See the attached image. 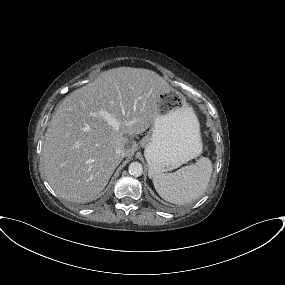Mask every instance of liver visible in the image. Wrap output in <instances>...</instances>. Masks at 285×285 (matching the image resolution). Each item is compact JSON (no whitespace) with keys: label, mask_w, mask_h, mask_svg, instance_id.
I'll list each match as a JSON object with an SVG mask.
<instances>
[{"label":"liver","mask_w":285,"mask_h":285,"mask_svg":"<svg viewBox=\"0 0 285 285\" xmlns=\"http://www.w3.org/2000/svg\"><path fill=\"white\" fill-rule=\"evenodd\" d=\"M163 87L150 70L118 67L64 98L43 144L45 176L58 196L77 203L98 197L122 159L131 155L130 137L154 123ZM99 111L119 120V129L94 115ZM119 147L125 150L123 158L116 155Z\"/></svg>","instance_id":"1"}]
</instances>
